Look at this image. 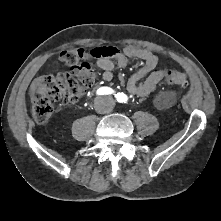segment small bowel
I'll return each mask as SVG.
<instances>
[{
    "label": "small bowel",
    "mask_w": 221,
    "mask_h": 221,
    "mask_svg": "<svg viewBox=\"0 0 221 221\" xmlns=\"http://www.w3.org/2000/svg\"><path fill=\"white\" fill-rule=\"evenodd\" d=\"M112 54L99 57L96 60V66L102 70V79L106 82L114 78V70L124 68L129 59L136 58L142 61L143 65L127 81V91L131 95L146 97L151 94L164 79L166 70L157 69L159 59L148 50L127 46L123 51L110 47Z\"/></svg>",
    "instance_id": "c3829d8e"
}]
</instances>
